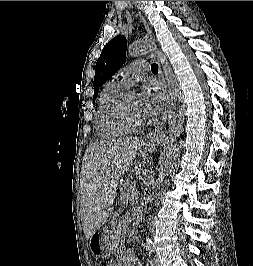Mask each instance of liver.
Listing matches in <instances>:
<instances>
[{
    "label": "liver",
    "mask_w": 253,
    "mask_h": 266,
    "mask_svg": "<svg viewBox=\"0 0 253 266\" xmlns=\"http://www.w3.org/2000/svg\"><path fill=\"white\" fill-rule=\"evenodd\" d=\"M143 145L139 138L126 137L87 147L81 179V218L87 239L100 229L110 214L119 180Z\"/></svg>",
    "instance_id": "obj_1"
}]
</instances>
